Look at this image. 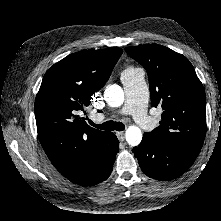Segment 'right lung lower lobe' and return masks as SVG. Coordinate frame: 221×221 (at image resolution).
Wrapping results in <instances>:
<instances>
[{
	"instance_id": "obj_1",
	"label": "right lung lower lobe",
	"mask_w": 221,
	"mask_h": 221,
	"mask_svg": "<svg viewBox=\"0 0 221 221\" xmlns=\"http://www.w3.org/2000/svg\"><path fill=\"white\" fill-rule=\"evenodd\" d=\"M107 143L109 147L107 161L103 165L94 170L69 177L68 180L81 186L95 185L106 180L113 169V163L116 154L119 151V141L117 137L111 132L108 133Z\"/></svg>"
}]
</instances>
